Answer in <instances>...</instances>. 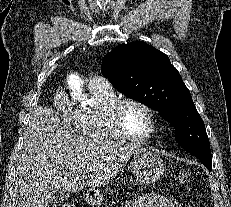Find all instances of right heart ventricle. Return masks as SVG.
Segmentation results:
<instances>
[{
  "label": "right heart ventricle",
  "instance_id": "obj_1",
  "mask_svg": "<svg viewBox=\"0 0 231 207\" xmlns=\"http://www.w3.org/2000/svg\"><path fill=\"white\" fill-rule=\"evenodd\" d=\"M94 106L77 112L76 130L85 139L97 142L121 141L108 121V111L118 99L112 88H90Z\"/></svg>",
  "mask_w": 231,
  "mask_h": 207
}]
</instances>
